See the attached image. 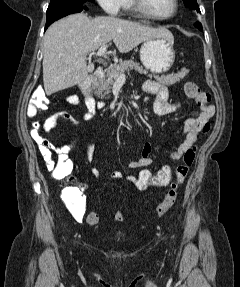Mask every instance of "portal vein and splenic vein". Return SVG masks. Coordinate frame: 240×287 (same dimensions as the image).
Returning a JSON list of instances; mask_svg holds the SVG:
<instances>
[{"label":"portal vein and splenic vein","mask_w":240,"mask_h":287,"mask_svg":"<svg viewBox=\"0 0 240 287\" xmlns=\"http://www.w3.org/2000/svg\"><path fill=\"white\" fill-rule=\"evenodd\" d=\"M106 49H107V45H102L95 55L99 56V57H103L105 59H108V57L106 55ZM124 76H125L124 74H121V77H124Z\"/></svg>","instance_id":"portal-vein-and-splenic-vein-1"}]
</instances>
